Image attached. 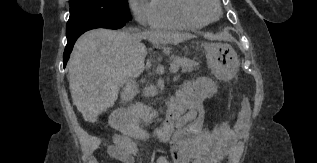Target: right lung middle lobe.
<instances>
[{
  "label": "right lung middle lobe",
  "mask_w": 317,
  "mask_h": 163,
  "mask_svg": "<svg viewBox=\"0 0 317 163\" xmlns=\"http://www.w3.org/2000/svg\"><path fill=\"white\" fill-rule=\"evenodd\" d=\"M66 36L101 21L131 20L128 0H70Z\"/></svg>",
  "instance_id": "dd1d6c3e"
}]
</instances>
